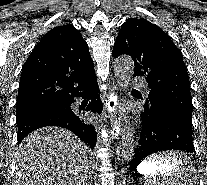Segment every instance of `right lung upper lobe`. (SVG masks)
<instances>
[{
    "mask_svg": "<svg viewBox=\"0 0 207 185\" xmlns=\"http://www.w3.org/2000/svg\"><path fill=\"white\" fill-rule=\"evenodd\" d=\"M96 78L88 45L65 24L46 33L22 69L16 112L60 103L73 89Z\"/></svg>",
    "mask_w": 207,
    "mask_h": 185,
    "instance_id": "obj_1",
    "label": "right lung upper lobe"
}]
</instances>
